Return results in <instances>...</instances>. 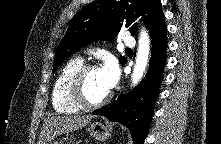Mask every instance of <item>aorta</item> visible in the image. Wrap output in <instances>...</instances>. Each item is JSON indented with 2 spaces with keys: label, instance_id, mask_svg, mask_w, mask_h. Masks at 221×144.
<instances>
[{
  "label": "aorta",
  "instance_id": "aorta-1",
  "mask_svg": "<svg viewBox=\"0 0 221 144\" xmlns=\"http://www.w3.org/2000/svg\"><path fill=\"white\" fill-rule=\"evenodd\" d=\"M150 54V39L148 32L143 28L140 32L138 50L135 59V65L131 76L132 85H137L147 67Z\"/></svg>",
  "mask_w": 221,
  "mask_h": 144
}]
</instances>
